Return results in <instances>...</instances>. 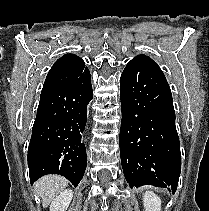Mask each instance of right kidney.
I'll use <instances>...</instances> for the list:
<instances>
[{"instance_id":"obj_1","label":"right kidney","mask_w":209,"mask_h":211,"mask_svg":"<svg viewBox=\"0 0 209 211\" xmlns=\"http://www.w3.org/2000/svg\"><path fill=\"white\" fill-rule=\"evenodd\" d=\"M73 197V191L66 189L51 202L50 211H66Z\"/></svg>"}]
</instances>
